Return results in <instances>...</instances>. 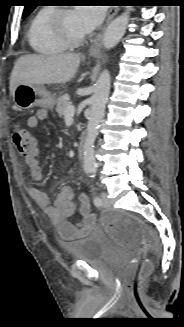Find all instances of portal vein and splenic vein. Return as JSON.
Instances as JSON below:
<instances>
[{"instance_id":"portal-vein-and-splenic-vein-1","label":"portal vein and splenic vein","mask_w":184,"mask_h":327,"mask_svg":"<svg viewBox=\"0 0 184 327\" xmlns=\"http://www.w3.org/2000/svg\"><path fill=\"white\" fill-rule=\"evenodd\" d=\"M75 113V107L73 105L67 106L65 110V117H72Z\"/></svg>"}]
</instances>
